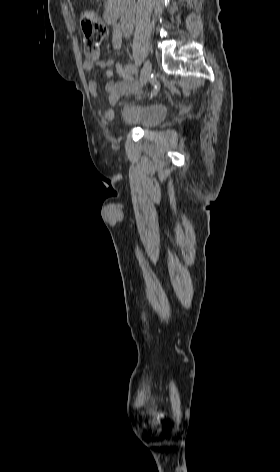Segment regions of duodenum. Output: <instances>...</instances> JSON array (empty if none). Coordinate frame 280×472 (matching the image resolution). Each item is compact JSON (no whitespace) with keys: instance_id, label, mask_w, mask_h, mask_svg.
Masks as SVG:
<instances>
[{"instance_id":"410a0bca","label":"duodenum","mask_w":280,"mask_h":472,"mask_svg":"<svg viewBox=\"0 0 280 472\" xmlns=\"http://www.w3.org/2000/svg\"><path fill=\"white\" fill-rule=\"evenodd\" d=\"M124 0H109L107 8L105 10V21L113 25L118 20Z\"/></svg>"}]
</instances>
